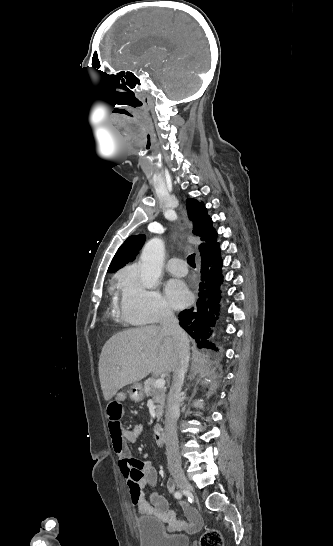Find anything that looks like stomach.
I'll list each match as a JSON object with an SVG mask.
<instances>
[{
	"mask_svg": "<svg viewBox=\"0 0 333 546\" xmlns=\"http://www.w3.org/2000/svg\"><path fill=\"white\" fill-rule=\"evenodd\" d=\"M128 394L131 400L135 402L142 401L144 398L142 385L138 383L134 384L133 386H131Z\"/></svg>",
	"mask_w": 333,
	"mask_h": 546,
	"instance_id": "stomach-1",
	"label": "stomach"
}]
</instances>
